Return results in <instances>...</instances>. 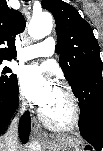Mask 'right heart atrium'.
I'll use <instances>...</instances> for the list:
<instances>
[{"label":"right heart atrium","mask_w":103,"mask_h":151,"mask_svg":"<svg viewBox=\"0 0 103 151\" xmlns=\"http://www.w3.org/2000/svg\"><path fill=\"white\" fill-rule=\"evenodd\" d=\"M19 100H20L21 106L25 107L27 105V102H26V100H25V98L23 97L22 94H20Z\"/></svg>","instance_id":"1"}]
</instances>
